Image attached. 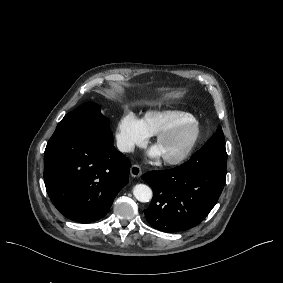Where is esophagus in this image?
<instances>
[{"label": "esophagus", "mask_w": 283, "mask_h": 283, "mask_svg": "<svg viewBox=\"0 0 283 283\" xmlns=\"http://www.w3.org/2000/svg\"><path fill=\"white\" fill-rule=\"evenodd\" d=\"M130 173L133 177L137 178V177L141 176L142 170H141L140 166L132 165L131 168H130Z\"/></svg>", "instance_id": "esophagus-1"}]
</instances>
